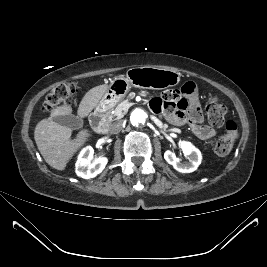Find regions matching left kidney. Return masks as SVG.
Segmentation results:
<instances>
[{
	"instance_id": "left-kidney-1",
	"label": "left kidney",
	"mask_w": 267,
	"mask_h": 267,
	"mask_svg": "<svg viewBox=\"0 0 267 267\" xmlns=\"http://www.w3.org/2000/svg\"><path fill=\"white\" fill-rule=\"evenodd\" d=\"M179 146L183 153L188 157L189 162L182 163L180 159L177 158L176 155L170 150H167L164 153L165 160L178 172L191 173L195 171L201 163V152L191 142L188 141H181Z\"/></svg>"
}]
</instances>
